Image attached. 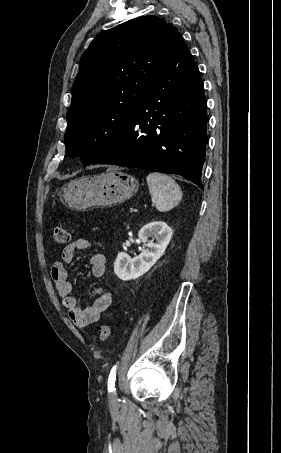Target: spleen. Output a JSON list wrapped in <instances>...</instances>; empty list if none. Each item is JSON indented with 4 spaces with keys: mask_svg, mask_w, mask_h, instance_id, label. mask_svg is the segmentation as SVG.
<instances>
[{
    "mask_svg": "<svg viewBox=\"0 0 281 453\" xmlns=\"http://www.w3.org/2000/svg\"><path fill=\"white\" fill-rule=\"evenodd\" d=\"M148 182L151 200L160 212L171 210L176 204H179L182 198V192L179 184L161 172H150L146 176Z\"/></svg>",
    "mask_w": 281,
    "mask_h": 453,
    "instance_id": "obj_1",
    "label": "spleen"
}]
</instances>
